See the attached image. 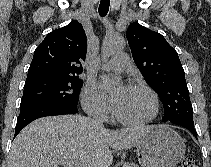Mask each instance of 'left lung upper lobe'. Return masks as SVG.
<instances>
[{
    "label": "left lung upper lobe",
    "mask_w": 211,
    "mask_h": 167,
    "mask_svg": "<svg viewBox=\"0 0 211 167\" xmlns=\"http://www.w3.org/2000/svg\"><path fill=\"white\" fill-rule=\"evenodd\" d=\"M135 64L164 106L163 121L194 125L185 73L176 50L158 32L129 25L126 32Z\"/></svg>",
    "instance_id": "left-lung-upper-lobe-1"
}]
</instances>
